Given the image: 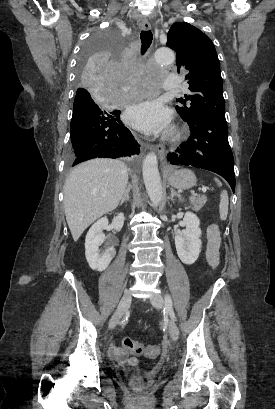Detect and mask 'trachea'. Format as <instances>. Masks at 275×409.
I'll return each instance as SVG.
<instances>
[{
    "label": "trachea",
    "instance_id": "obj_1",
    "mask_svg": "<svg viewBox=\"0 0 275 409\" xmlns=\"http://www.w3.org/2000/svg\"><path fill=\"white\" fill-rule=\"evenodd\" d=\"M140 38L142 42L141 52L142 54H144V52H146V50L149 48V46L152 43L153 34L150 30L148 31L142 30L140 34Z\"/></svg>",
    "mask_w": 275,
    "mask_h": 409
}]
</instances>
